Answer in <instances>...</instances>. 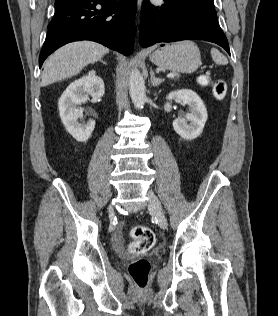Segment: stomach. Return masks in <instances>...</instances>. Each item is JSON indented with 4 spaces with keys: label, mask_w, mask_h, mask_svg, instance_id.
I'll return each instance as SVG.
<instances>
[{
    "label": "stomach",
    "mask_w": 278,
    "mask_h": 316,
    "mask_svg": "<svg viewBox=\"0 0 278 316\" xmlns=\"http://www.w3.org/2000/svg\"><path fill=\"white\" fill-rule=\"evenodd\" d=\"M149 58L159 67L180 73H193L201 65L199 48L191 41L165 45Z\"/></svg>",
    "instance_id": "0dacf381"
}]
</instances>
